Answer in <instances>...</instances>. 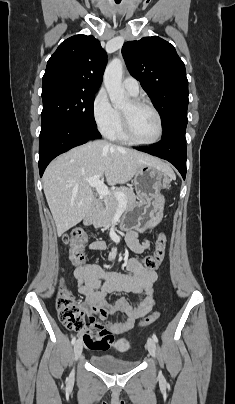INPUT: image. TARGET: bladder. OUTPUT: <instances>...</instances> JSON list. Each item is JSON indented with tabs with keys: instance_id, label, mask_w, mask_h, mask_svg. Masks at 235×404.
<instances>
[{
	"instance_id": "31cf9c89",
	"label": "bladder",
	"mask_w": 235,
	"mask_h": 404,
	"mask_svg": "<svg viewBox=\"0 0 235 404\" xmlns=\"http://www.w3.org/2000/svg\"><path fill=\"white\" fill-rule=\"evenodd\" d=\"M89 361L97 369L111 373L131 371L138 363L135 360L123 359L109 353L92 354L89 356Z\"/></svg>"
}]
</instances>
